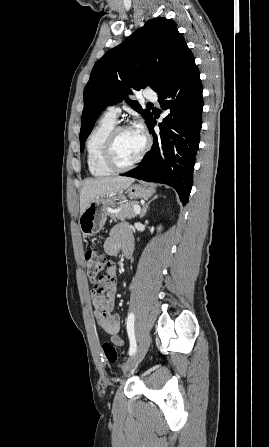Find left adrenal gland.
<instances>
[{
    "label": "left adrenal gland",
    "instance_id": "1",
    "mask_svg": "<svg viewBox=\"0 0 269 447\" xmlns=\"http://www.w3.org/2000/svg\"><path fill=\"white\" fill-rule=\"evenodd\" d=\"M157 198H158V196H154V198H152V200H150V202H148V204H145V206H143L140 218H143V216H145V214L147 212V208H149V204H151V202H153V200H157Z\"/></svg>",
    "mask_w": 269,
    "mask_h": 447
}]
</instances>
